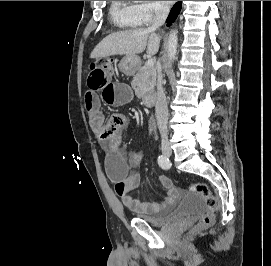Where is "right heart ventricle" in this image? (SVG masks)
Returning <instances> with one entry per match:
<instances>
[{
  "label": "right heart ventricle",
  "mask_w": 271,
  "mask_h": 266,
  "mask_svg": "<svg viewBox=\"0 0 271 266\" xmlns=\"http://www.w3.org/2000/svg\"><path fill=\"white\" fill-rule=\"evenodd\" d=\"M110 15L119 28H133L140 25L134 5L129 1H112Z\"/></svg>",
  "instance_id": "right-heart-ventricle-1"
}]
</instances>
